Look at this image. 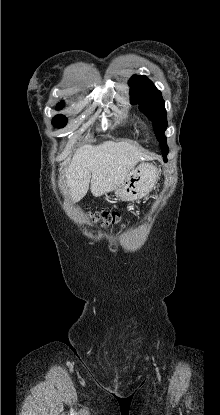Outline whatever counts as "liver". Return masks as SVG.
I'll use <instances>...</instances> for the list:
<instances>
[{"label":"liver","instance_id":"liver-1","mask_svg":"<svg viewBox=\"0 0 220 415\" xmlns=\"http://www.w3.org/2000/svg\"><path fill=\"white\" fill-rule=\"evenodd\" d=\"M148 159L129 142L104 141L84 145L76 150L65 173V185L73 202L81 200L89 190L99 197L121 185L138 162Z\"/></svg>","mask_w":220,"mask_h":415}]
</instances>
